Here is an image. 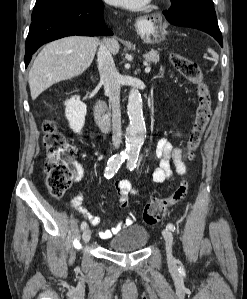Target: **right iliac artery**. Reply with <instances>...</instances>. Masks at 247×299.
Instances as JSON below:
<instances>
[{
    "instance_id": "82829eb1",
    "label": "right iliac artery",
    "mask_w": 247,
    "mask_h": 299,
    "mask_svg": "<svg viewBox=\"0 0 247 299\" xmlns=\"http://www.w3.org/2000/svg\"><path fill=\"white\" fill-rule=\"evenodd\" d=\"M128 158V154L121 152L118 155L112 156L107 163V167L104 173V176L107 179L113 177V175L118 171L120 165ZM87 227L86 222L81 223V230H84Z\"/></svg>"
}]
</instances>
